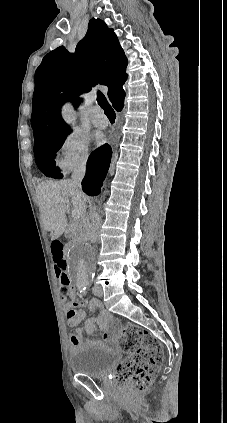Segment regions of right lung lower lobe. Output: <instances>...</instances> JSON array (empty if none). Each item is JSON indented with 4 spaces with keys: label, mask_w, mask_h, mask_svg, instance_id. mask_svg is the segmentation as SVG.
<instances>
[{
    "label": "right lung lower lobe",
    "mask_w": 227,
    "mask_h": 423,
    "mask_svg": "<svg viewBox=\"0 0 227 423\" xmlns=\"http://www.w3.org/2000/svg\"><path fill=\"white\" fill-rule=\"evenodd\" d=\"M124 106V100L113 105L117 111H121ZM112 151L108 144L100 147L91 153L87 162V173L82 181L83 191L95 196L100 192V187L109 169Z\"/></svg>",
    "instance_id": "98d812e1"
}]
</instances>
